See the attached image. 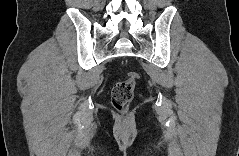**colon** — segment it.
I'll return each mask as SVG.
<instances>
[{"mask_svg": "<svg viewBox=\"0 0 239 156\" xmlns=\"http://www.w3.org/2000/svg\"><path fill=\"white\" fill-rule=\"evenodd\" d=\"M139 74L137 72H130L127 78L117 82L111 93V102L113 107L118 111H125L134 97V90Z\"/></svg>", "mask_w": 239, "mask_h": 156, "instance_id": "colon-1", "label": "colon"}]
</instances>
